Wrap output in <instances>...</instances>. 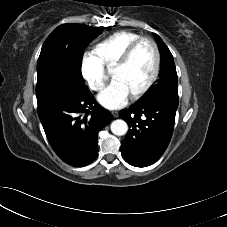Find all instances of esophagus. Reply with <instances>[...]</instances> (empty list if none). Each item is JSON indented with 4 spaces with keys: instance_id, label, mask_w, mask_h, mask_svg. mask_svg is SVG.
I'll return each instance as SVG.
<instances>
[{
    "instance_id": "obj_1",
    "label": "esophagus",
    "mask_w": 227,
    "mask_h": 227,
    "mask_svg": "<svg viewBox=\"0 0 227 227\" xmlns=\"http://www.w3.org/2000/svg\"><path fill=\"white\" fill-rule=\"evenodd\" d=\"M112 116H113L114 118H117V117H118V112H117V111H113V112H112Z\"/></svg>"
}]
</instances>
